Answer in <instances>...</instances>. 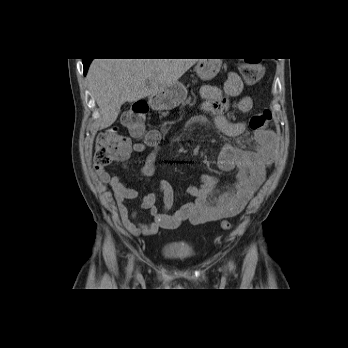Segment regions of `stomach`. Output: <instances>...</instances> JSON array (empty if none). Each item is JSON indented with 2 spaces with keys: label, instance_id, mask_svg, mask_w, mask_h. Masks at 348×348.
I'll use <instances>...</instances> for the list:
<instances>
[{
  "label": "stomach",
  "instance_id": "stomach-1",
  "mask_svg": "<svg viewBox=\"0 0 348 348\" xmlns=\"http://www.w3.org/2000/svg\"><path fill=\"white\" fill-rule=\"evenodd\" d=\"M221 59H199L195 66L198 77L202 80L213 79L221 68ZM187 97V88L180 82L150 97L151 106L156 110H171Z\"/></svg>",
  "mask_w": 348,
  "mask_h": 348
}]
</instances>
